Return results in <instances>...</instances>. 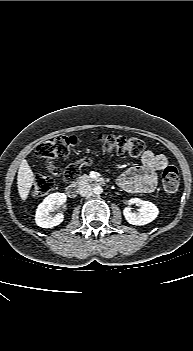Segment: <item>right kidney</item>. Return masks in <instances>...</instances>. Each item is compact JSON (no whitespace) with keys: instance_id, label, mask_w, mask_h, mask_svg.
Returning <instances> with one entry per match:
<instances>
[{"instance_id":"obj_1","label":"right kidney","mask_w":193,"mask_h":351,"mask_svg":"<svg viewBox=\"0 0 193 351\" xmlns=\"http://www.w3.org/2000/svg\"><path fill=\"white\" fill-rule=\"evenodd\" d=\"M67 200L64 193H53L48 195L39 205L36 210L35 222L42 228H52L59 225L64 220V215L61 213L51 216L49 213L53 211L54 205H63Z\"/></svg>"}]
</instances>
